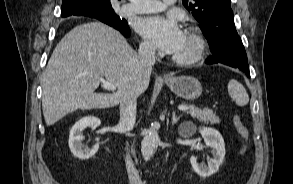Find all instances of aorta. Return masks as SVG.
I'll return each instance as SVG.
<instances>
[{
  "mask_svg": "<svg viewBox=\"0 0 293 184\" xmlns=\"http://www.w3.org/2000/svg\"><path fill=\"white\" fill-rule=\"evenodd\" d=\"M159 142L158 127L152 126L147 130V133L141 143V152L144 160L147 161L153 156Z\"/></svg>",
  "mask_w": 293,
  "mask_h": 184,
  "instance_id": "obj_1",
  "label": "aorta"
}]
</instances>
